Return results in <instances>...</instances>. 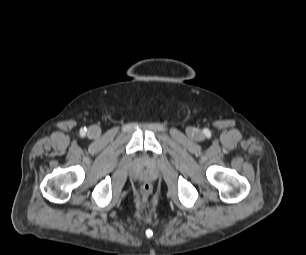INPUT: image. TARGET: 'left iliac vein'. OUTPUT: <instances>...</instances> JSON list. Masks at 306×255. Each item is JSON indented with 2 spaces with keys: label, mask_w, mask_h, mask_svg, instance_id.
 Instances as JSON below:
<instances>
[{
  "label": "left iliac vein",
  "mask_w": 306,
  "mask_h": 255,
  "mask_svg": "<svg viewBox=\"0 0 306 255\" xmlns=\"http://www.w3.org/2000/svg\"><path fill=\"white\" fill-rule=\"evenodd\" d=\"M192 136L195 138V139H201L202 138V132L199 131V130H193L192 131Z\"/></svg>",
  "instance_id": "obj_1"
}]
</instances>
